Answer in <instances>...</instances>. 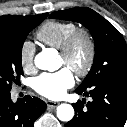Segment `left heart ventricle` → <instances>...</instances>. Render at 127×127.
<instances>
[{"instance_id":"obj_1","label":"left heart ventricle","mask_w":127,"mask_h":127,"mask_svg":"<svg viewBox=\"0 0 127 127\" xmlns=\"http://www.w3.org/2000/svg\"><path fill=\"white\" fill-rule=\"evenodd\" d=\"M87 57V47L86 44L81 41L75 47V50L71 57V65L75 68H80L84 65ZM59 61L61 65H65L64 59L60 56Z\"/></svg>"}]
</instances>
